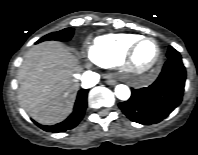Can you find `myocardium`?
I'll return each instance as SVG.
<instances>
[{"mask_svg":"<svg viewBox=\"0 0 198 155\" xmlns=\"http://www.w3.org/2000/svg\"><path fill=\"white\" fill-rule=\"evenodd\" d=\"M145 41H152L157 48V54L154 59V61L148 65L147 67H139L137 66L135 62V54L138 49V47ZM162 49L160 47L159 42L152 38V37H145L142 36L138 38L127 50L122 62L124 64V69L127 74H129L131 77L135 79H141V78H149L155 75L157 72L161 61H162Z\"/></svg>","mask_w":198,"mask_h":155,"instance_id":"myocardium-1","label":"myocardium"}]
</instances>
